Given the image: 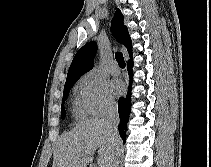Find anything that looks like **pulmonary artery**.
Masks as SVG:
<instances>
[{
    "label": "pulmonary artery",
    "instance_id": "pulmonary-artery-1",
    "mask_svg": "<svg viewBox=\"0 0 211 167\" xmlns=\"http://www.w3.org/2000/svg\"><path fill=\"white\" fill-rule=\"evenodd\" d=\"M110 73H111L112 75H118V74H120V69H119V67L117 66L116 63H114V64L111 66V68H110Z\"/></svg>",
    "mask_w": 211,
    "mask_h": 167
}]
</instances>
